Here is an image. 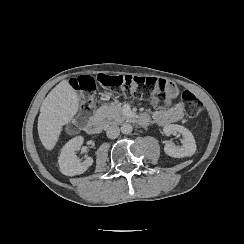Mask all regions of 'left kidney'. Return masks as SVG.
<instances>
[{
    "instance_id": "1",
    "label": "left kidney",
    "mask_w": 244,
    "mask_h": 244,
    "mask_svg": "<svg viewBox=\"0 0 244 244\" xmlns=\"http://www.w3.org/2000/svg\"><path fill=\"white\" fill-rule=\"evenodd\" d=\"M163 132L166 136L173 133H180L183 136L182 146H176L173 142H169L165 145L164 151L167 155L175 158H182L192 156L196 151V143L192 133L184 126L177 124H170L163 128Z\"/></svg>"
}]
</instances>
